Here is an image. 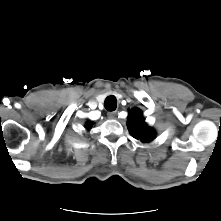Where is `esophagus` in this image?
I'll return each mask as SVG.
<instances>
[{"mask_svg":"<svg viewBox=\"0 0 221 221\" xmlns=\"http://www.w3.org/2000/svg\"><path fill=\"white\" fill-rule=\"evenodd\" d=\"M107 115L109 119H115L117 116V111L109 112Z\"/></svg>","mask_w":221,"mask_h":221,"instance_id":"esophagus-1","label":"esophagus"}]
</instances>
